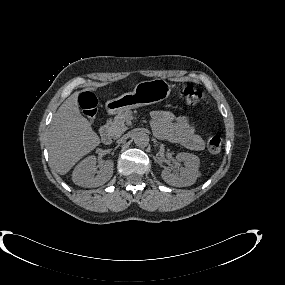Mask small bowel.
Listing matches in <instances>:
<instances>
[{"label":"small bowel","mask_w":285,"mask_h":285,"mask_svg":"<svg viewBox=\"0 0 285 285\" xmlns=\"http://www.w3.org/2000/svg\"><path fill=\"white\" fill-rule=\"evenodd\" d=\"M151 118V126L159 138L190 150L203 149V140L195 130L192 116L176 117L167 110H155L151 113Z\"/></svg>","instance_id":"small-bowel-1"}]
</instances>
